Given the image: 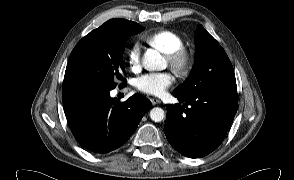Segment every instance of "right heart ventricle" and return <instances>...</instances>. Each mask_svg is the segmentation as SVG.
Instances as JSON below:
<instances>
[{"label":"right heart ventricle","instance_id":"right-heart-ventricle-1","mask_svg":"<svg viewBox=\"0 0 294 180\" xmlns=\"http://www.w3.org/2000/svg\"><path fill=\"white\" fill-rule=\"evenodd\" d=\"M143 40L152 46L158 47L166 54H172L184 47L182 37L171 30L156 31L143 37Z\"/></svg>","mask_w":294,"mask_h":180}]
</instances>
